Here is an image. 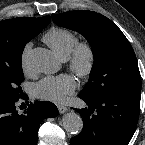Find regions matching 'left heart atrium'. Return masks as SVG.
Here are the masks:
<instances>
[{"label": "left heart atrium", "mask_w": 145, "mask_h": 145, "mask_svg": "<svg viewBox=\"0 0 145 145\" xmlns=\"http://www.w3.org/2000/svg\"><path fill=\"white\" fill-rule=\"evenodd\" d=\"M76 89V81L70 74L43 78L33 87L34 95L43 100L61 103Z\"/></svg>", "instance_id": "39dd6f15"}]
</instances>
